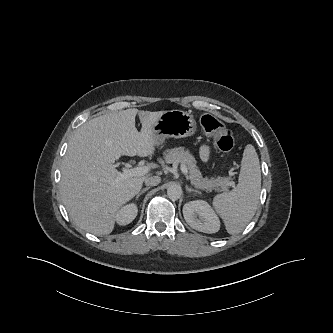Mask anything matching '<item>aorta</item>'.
I'll use <instances>...</instances> for the list:
<instances>
[{"instance_id": "aorta-1", "label": "aorta", "mask_w": 333, "mask_h": 333, "mask_svg": "<svg viewBox=\"0 0 333 333\" xmlns=\"http://www.w3.org/2000/svg\"><path fill=\"white\" fill-rule=\"evenodd\" d=\"M181 194H182V190H181L180 186H178V185H171L167 189V196L171 200H178L181 197Z\"/></svg>"}]
</instances>
